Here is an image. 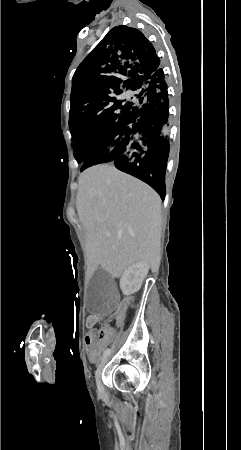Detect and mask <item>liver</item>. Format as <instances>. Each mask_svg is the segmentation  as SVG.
Instances as JSON below:
<instances>
[{
  "label": "liver",
  "mask_w": 241,
  "mask_h": 450,
  "mask_svg": "<svg viewBox=\"0 0 241 450\" xmlns=\"http://www.w3.org/2000/svg\"><path fill=\"white\" fill-rule=\"evenodd\" d=\"M76 200L86 230L90 274L101 266L112 278H119L135 262H145L157 272L162 220L161 198L155 190L115 166L102 164L80 174Z\"/></svg>",
  "instance_id": "6515ba94"
}]
</instances>
